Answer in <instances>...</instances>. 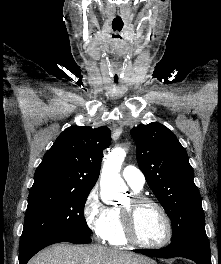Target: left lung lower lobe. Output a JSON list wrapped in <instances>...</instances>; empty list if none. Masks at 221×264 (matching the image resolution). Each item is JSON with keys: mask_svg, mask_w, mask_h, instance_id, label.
I'll list each match as a JSON object with an SVG mask.
<instances>
[{"mask_svg": "<svg viewBox=\"0 0 221 264\" xmlns=\"http://www.w3.org/2000/svg\"><path fill=\"white\" fill-rule=\"evenodd\" d=\"M135 251L152 257H184L195 261L197 264H211L210 245L207 236L181 238L162 249Z\"/></svg>", "mask_w": 221, "mask_h": 264, "instance_id": "obj_1", "label": "left lung lower lobe"}]
</instances>
